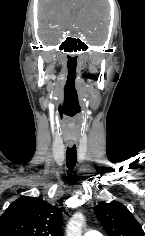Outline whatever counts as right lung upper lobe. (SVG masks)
Segmentation results:
<instances>
[{"label": "right lung upper lobe", "mask_w": 145, "mask_h": 236, "mask_svg": "<svg viewBox=\"0 0 145 236\" xmlns=\"http://www.w3.org/2000/svg\"><path fill=\"white\" fill-rule=\"evenodd\" d=\"M62 212L33 197H21L0 217V236H62Z\"/></svg>", "instance_id": "cb5924a9"}]
</instances>
